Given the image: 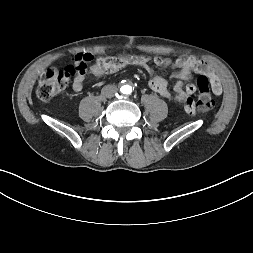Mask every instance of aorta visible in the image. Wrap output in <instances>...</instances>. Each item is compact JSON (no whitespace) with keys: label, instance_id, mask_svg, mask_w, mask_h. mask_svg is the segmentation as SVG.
Listing matches in <instances>:
<instances>
[{"label":"aorta","instance_id":"1","mask_svg":"<svg viewBox=\"0 0 253 253\" xmlns=\"http://www.w3.org/2000/svg\"><path fill=\"white\" fill-rule=\"evenodd\" d=\"M132 91L131 86L125 85L121 87V92L125 94H129Z\"/></svg>","mask_w":253,"mask_h":253}]
</instances>
